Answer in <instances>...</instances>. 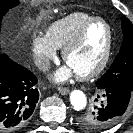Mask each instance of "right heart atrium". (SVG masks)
I'll return each mask as SVG.
<instances>
[{"label": "right heart atrium", "mask_w": 133, "mask_h": 133, "mask_svg": "<svg viewBox=\"0 0 133 133\" xmlns=\"http://www.w3.org/2000/svg\"><path fill=\"white\" fill-rule=\"evenodd\" d=\"M31 51L36 58L37 66L41 70H46L50 61L57 56L56 49L42 35H35L31 40Z\"/></svg>", "instance_id": "right-heart-atrium-1"}]
</instances>
